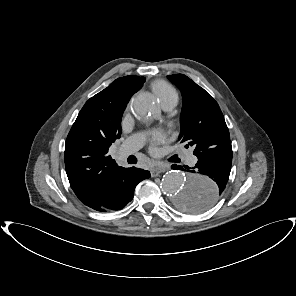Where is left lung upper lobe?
I'll return each instance as SVG.
<instances>
[{
	"label": "left lung upper lobe",
	"mask_w": 296,
	"mask_h": 296,
	"mask_svg": "<svg viewBox=\"0 0 296 296\" xmlns=\"http://www.w3.org/2000/svg\"><path fill=\"white\" fill-rule=\"evenodd\" d=\"M167 77L180 89L183 98L179 141L185 147L193 146L197 157L218 151L220 145L231 142L224 116L213 97L183 74ZM191 199L181 208L188 211L187 202Z\"/></svg>",
	"instance_id": "5c2ea615"
}]
</instances>
